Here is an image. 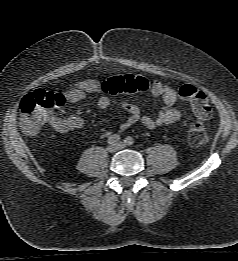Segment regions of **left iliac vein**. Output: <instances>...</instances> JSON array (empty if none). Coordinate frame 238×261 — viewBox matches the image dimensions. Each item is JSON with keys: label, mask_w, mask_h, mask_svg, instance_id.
<instances>
[{"label": "left iliac vein", "mask_w": 238, "mask_h": 261, "mask_svg": "<svg viewBox=\"0 0 238 261\" xmlns=\"http://www.w3.org/2000/svg\"><path fill=\"white\" fill-rule=\"evenodd\" d=\"M117 146H118V149H123L125 147V144L120 142Z\"/></svg>", "instance_id": "4c4485c4"}]
</instances>
